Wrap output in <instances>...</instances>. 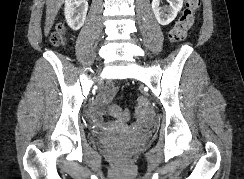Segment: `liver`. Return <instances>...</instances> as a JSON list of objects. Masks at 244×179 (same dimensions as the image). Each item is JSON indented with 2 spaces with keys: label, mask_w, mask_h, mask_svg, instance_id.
Returning <instances> with one entry per match:
<instances>
[{
  "label": "liver",
  "mask_w": 244,
  "mask_h": 179,
  "mask_svg": "<svg viewBox=\"0 0 244 179\" xmlns=\"http://www.w3.org/2000/svg\"><path fill=\"white\" fill-rule=\"evenodd\" d=\"M63 2L64 0H46L45 36H48Z\"/></svg>",
  "instance_id": "1"
}]
</instances>
